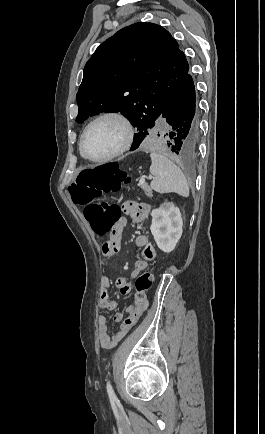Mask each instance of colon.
Segmentation results:
<instances>
[{
	"label": "colon",
	"mask_w": 265,
	"mask_h": 434,
	"mask_svg": "<svg viewBox=\"0 0 265 434\" xmlns=\"http://www.w3.org/2000/svg\"><path fill=\"white\" fill-rule=\"evenodd\" d=\"M129 181L125 172L118 166L117 159L112 158L109 164H86L85 168H80L73 184L67 185V192L71 193V202H81L84 205V216L92 230L99 236H108L120 218V209L116 203L99 198L103 192H119ZM141 271L142 274H138V278L135 279V313L131 319L121 320L117 332L118 339L136 326L147 307V291L152 287L155 278H152L151 269Z\"/></svg>",
	"instance_id": "5ec220e1"
}]
</instances>
